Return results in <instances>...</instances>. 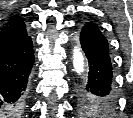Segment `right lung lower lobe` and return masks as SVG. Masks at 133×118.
<instances>
[{"label":"right lung lower lobe","mask_w":133,"mask_h":118,"mask_svg":"<svg viewBox=\"0 0 133 118\" xmlns=\"http://www.w3.org/2000/svg\"><path fill=\"white\" fill-rule=\"evenodd\" d=\"M33 63L34 52L30 37L0 53L1 118H16L21 114Z\"/></svg>","instance_id":"obj_1"}]
</instances>
